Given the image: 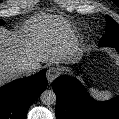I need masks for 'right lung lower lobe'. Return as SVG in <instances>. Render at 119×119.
<instances>
[{"instance_id": "obj_1", "label": "right lung lower lobe", "mask_w": 119, "mask_h": 119, "mask_svg": "<svg viewBox=\"0 0 119 119\" xmlns=\"http://www.w3.org/2000/svg\"><path fill=\"white\" fill-rule=\"evenodd\" d=\"M46 87L45 70L1 87L0 119H26L29 107Z\"/></svg>"}]
</instances>
